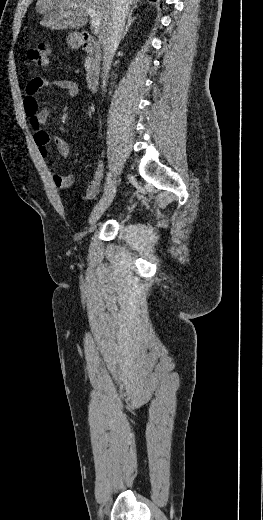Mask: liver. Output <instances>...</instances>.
Returning a JSON list of instances; mask_svg holds the SVG:
<instances>
[{
	"label": "liver",
	"instance_id": "obj_1",
	"mask_svg": "<svg viewBox=\"0 0 263 520\" xmlns=\"http://www.w3.org/2000/svg\"><path fill=\"white\" fill-rule=\"evenodd\" d=\"M140 0H130L134 7ZM75 3L74 7H70ZM114 0H37L36 12L44 17L40 24L52 30L79 29L86 25V7L92 8L101 19L99 40L103 42L111 22Z\"/></svg>",
	"mask_w": 263,
	"mask_h": 520
}]
</instances>
